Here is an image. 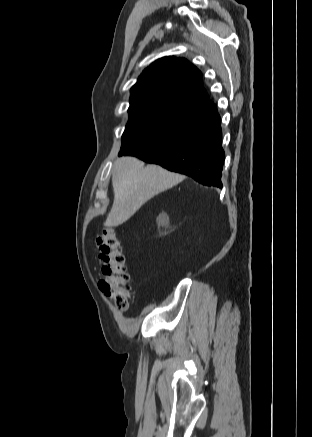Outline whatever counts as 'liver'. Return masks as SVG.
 I'll return each mask as SVG.
<instances>
[{
	"mask_svg": "<svg viewBox=\"0 0 312 437\" xmlns=\"http://www.w3.org/2000/svg\"><path fill=\"white\" fill-rule=\"evenodd\" d=\"M184 179V176L160 166H145L135 157L117 159L112 169L114 202L105 225L116 227L123 224L149 199Z\"/></svg>",
	"mask_w": 312,
	"mask_h": 437,
	"instance_id": "6515ba94",
	"label": "liver"
}]
</instances>
